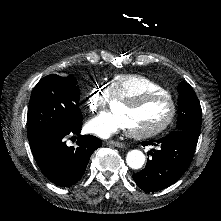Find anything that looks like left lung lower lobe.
I'll return each instance as SVG.
<instances>
[{"label":"left lung lower lobe","instance_id":"1","mask_svg":"<svg viewBox=\"0 0 221 221\" xmlns=\"http://www.w3.org/2000/svg\"><path fill=\"white\" fill-rule=\"evenodd\" d=\"M198 139L176 130L155 141H144L142 145L160 146L152 149V159L146 167L133 175L138 187L146 192H154L167 188L175 183L189 167Z\"/></svg>","mask_w":221,"mask_h":221}]
</instances>
